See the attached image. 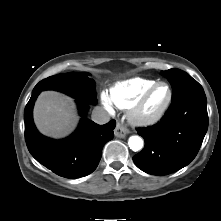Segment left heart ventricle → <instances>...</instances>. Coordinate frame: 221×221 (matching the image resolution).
Returning <instances> with one entry per match:
<instances>
[{
  "instance_id": "b2bd125f",
  "label": "left heart ventricle",
  "mask_w": 221,
  "mask_h": 221,
  "mask_svg": "<svg viewBox=\"0 0 221 221\" xmlns=\"http://www.w3.org/2000/svg\"><path fill=\"white\" fill-rule=\"evenodd\" d=\"M168 97V89L166 86L161 85L155 89L150 98L148 99L144 111L147 114L156 113L165 103Z\"/></svg>"
}]
</instances>
